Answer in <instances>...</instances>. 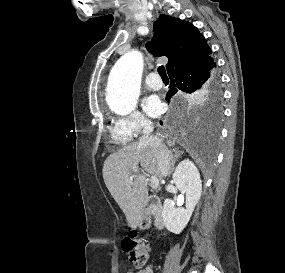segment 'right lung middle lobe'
Instances as JSON below:
<instances>
[{"instance_id": "right-lung-middle-lobe-1", "label": "right lung middle lobe", "mask_w": 285, "mask_h": 273, "mask_svg": "<svg viewBox=\"0 0 285 273\" xmlns=\"http://www.w3.org/2000/svg\"><path fill=\"white\" fill-rule=\"evenodd\" d=\"M218 75H216V77L202 90L194 93L192 96H190V99L192 101H198L200 98L202 97H206L210 94L215 95L216 97H218V93H217V87H218ZM213 117L215 118H219L220 116V109L218 107L215 108V110L211 113Z\"/></svg>"}]
</instances>
